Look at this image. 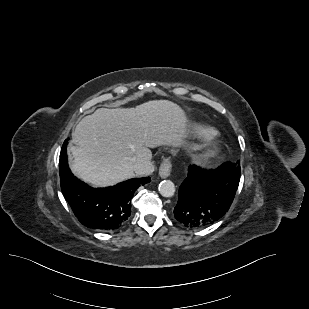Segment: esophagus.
<instances>
[{
  "label": "esophagus",
  "instance_id": "34e87169",
  "mask_svg": "<svg viewBox=\"0 0 309 309\" xmlns=\"http://www.w3.org/2000/svg\"><path fill=\"white\" fill-rule=\"evenodd\" d=\"M172 164L169 158L164 159L159 168V176L161 178H167L170 175Z\"/></svg>",
  "mask_w": 309,
  "mask_h": 309
}]
</instances>
